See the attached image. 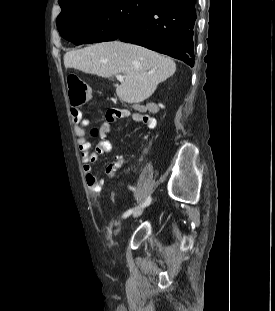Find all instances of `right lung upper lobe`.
Listing matches in <instances>:
<instances>
[{"label":"right lung upper lobe","instance_id":"obj_1","mask_svg":"<svg viewBox=\"0 0 275 311\" xmlns=\"http://www.w3.org/2000/svg\"><path fill=\"white\" fill-rule=\"evenodd\" d=\"M68 1H71V0H59V4L63 5L64 3L68 2Z\"/></svg>","mask_w":275,"mask_h":311}]
</instances>
